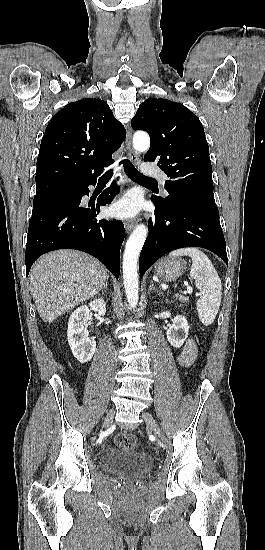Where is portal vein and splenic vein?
Listing matches in <instances>:
<instances>
[{
  "label": "portal vein and splenic vein",
  "instance_id": "obj_1",
  "mask_svg": "<svg viewBox=\"0 0 265 550\" xmlns=\"http://www.w3.org/2000/svg\"><path fill=\"white\" fill-rule=\"evenodd\" d=\"M187 292H188V293H191V292H192V288L188 286V287H187Z\"/></svg>",
  "mask_w": 265,
  "mask_h": 550
}]
</instances>
